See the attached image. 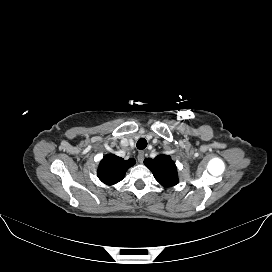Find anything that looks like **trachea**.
Here are the masks:
<instances>
[{"instance_id": "trachea-1", "label": "trachea", "mask_w": 272, "mask_h": 272, "mask_svg": "<svg viewBox=\"0 0 272 272\" xmlns=\"http://www.w3.org/2000/svg\"><path fill=\"white\" fill-rule=\"evenodd\" d=\"M136 146H137V148H138L139 150L145 149L146 146H147V141H146V139H144V138L139 139L138 142H137V144H136Z\"/></svg>"}]
</instances>
